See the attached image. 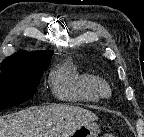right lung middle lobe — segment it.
<instances>
[{
    "label": "right lung middle lobe",
    "mask_w": 144,
    "mask_h": 137,
    "mask_svg": "<svg viewBox=\"0 0 144 137\" xmlns=\"http://www.w3.org/2000/svg\"><path fill=\"white\" fill-rule=\"evenodd\" d=\"M50 61L40 65H15L1 67L0 110L31 98L37 83Z\"/></svg>",
    "instance_id": "dd1d6c3e"
}]
</instances>
